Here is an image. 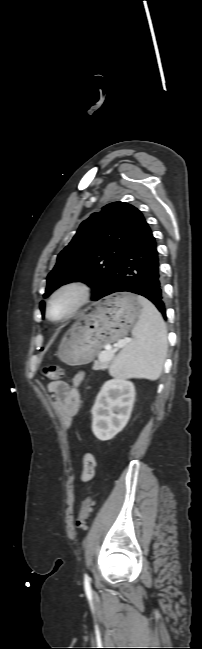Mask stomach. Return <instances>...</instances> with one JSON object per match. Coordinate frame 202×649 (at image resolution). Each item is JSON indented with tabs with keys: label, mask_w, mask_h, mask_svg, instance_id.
I'll list each match as a JSON object with an SVG mask.
<instances>
[{
	"label": "stomach",
	"mask_w": 202,
	"mask_h": 649,
	"mask_svg": "<svg viewBox=\"0 0 202 649\" xmlns=\"http://www.w3.org/2000/svg\"><path fill=\"white\" fill-rule=\"evenodd\" d=\"M142 312L137 296L114 294L95 303L92 313L79 319L62 338L57 356L68 365L91 362L107 344L126 336Z\"/></svg>",
	"instance_id": "stomach-1"
}]
</instances>
